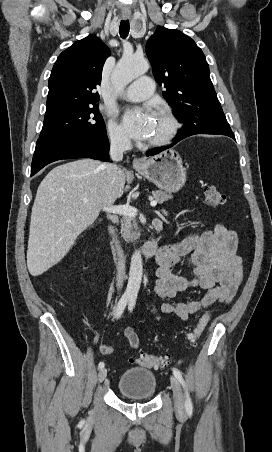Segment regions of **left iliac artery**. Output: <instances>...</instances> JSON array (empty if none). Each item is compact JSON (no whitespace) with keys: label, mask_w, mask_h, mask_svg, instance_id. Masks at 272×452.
Returning <instances> with one entry per match:
<instances>
[{"label":"left iliac artery","mask_w":272,"mask_h":452,"mask_svg":"<svg viewBox=\"0 0 272 452\" xmlns=\"http://www.w3.org/2000/svg\"><path fill=\"white\" fill-rule=\"evenodd\" d=\"M135 304H136V296H131L130 299H129V306H128L130 311L133 310V308L135 307ZM173 374L179 380V382L182 384L184 389L186 390V385H185L184 379H183L182 374L180 373V371L175 369V368H173ZM185 394H186L185 408H186V411H187L188 415H191L192 411H193L192 401H191V399L189 397V394H188L187 390H186Z\"/></svg>","instance_id":"44dca946"}]
</instances>
